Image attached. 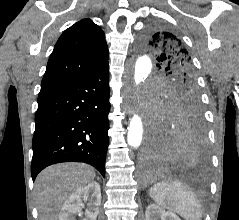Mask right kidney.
Segmentation results:
<instances>
[{"mask_svg":"<svg viewBox=\"0 0 239 220\" xmlns=\"http://www.w3.org/2000/svg\"><path fill=\"white\" fill-rule=\"evenodd\" d=\"M83 201L87 202L84 220H96L101 204V188L97 182H91L72 193L63 204L58 220H75L84 207Z\"/></svg>","mask_w":239,"mask_h":220,"instance_id":"obj_1","label":"right kidney"}]
</instances>
